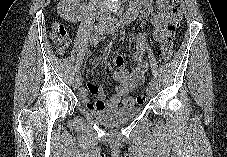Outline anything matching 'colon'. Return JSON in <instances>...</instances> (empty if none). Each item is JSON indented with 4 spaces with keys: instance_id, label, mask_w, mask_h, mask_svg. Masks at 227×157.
I'll use <instances>...</instances> for the list:
<instances>
[{
    "instance_id": "1",
    "label": "colon",
    "mask_w": 227,
    "mask_h": 157,
    "mask_svg": "<svg viewBox=\"0 0 227 157\" xmlns=\"http://www.w3.org/2000/svg\"><path fill=\"white\" fill-rule=\"evenodd\" d=\"M182 0H172L170 8L171 23L167 28L168 37L162 41L158 51L159 58L162 62H168L173 54V45L171 37L174 34L177 26L182 20ZM51 38L53 43L60 54H63L70 45L69 36L66 28L60 22L52 24ZM145 101L144 96L138 95L136 97H126L122 101L125 107H133L135 105L143 104Z\"/></svg>"
}]
</instances>
